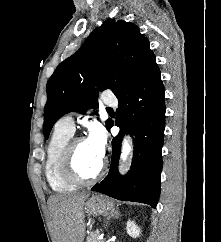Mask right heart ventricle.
<instances>
[{"instance_id":"e07e8e85","label":"right heart ventricle","mask_w":221,"mask_h":242,"mask_svg":"<svg viewBox=\"0 0 221 242\" xmlns=\"http://www.w3.org/2000/svg\"><path fill=\"white\" fill-rule=\"evenodd\" d=\"M72 134L55 127L46 147L44 173L49 187L58 193L70 192L78 184L67 180L61 169L62 157Z\"/></svg>"}]
</instances>
